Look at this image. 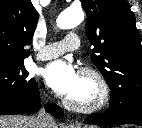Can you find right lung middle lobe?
<instances>
[{
  "instance_id": "right-lung-middle-lobe-1",
  "label": "right lung middle lobe",
  "mask_w": 142,
  "mask_h": 128,
  "mask_svg": "<svg viewBox=\"0 0 142 128\" xmlns=\"http://www.w3.org/2000/svg\"><path fill=\"white\" fill-rule=\"evenodd\" d=\"M28 75L24 64L0 65V98H22L30 95L37 85Z\"/></svg>"
}]
</instances>
